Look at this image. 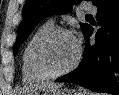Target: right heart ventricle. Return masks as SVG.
<instances>
[{"instance_id": "e07e8e85", "label": "right heart ventricle", "mask_w": 119, "mask_h": 95, "mask_svg": "<svg viewBox=\"0 0 119 95\" xmlns=\"http://www.w3.org/2000/svg\"><path fill=\"white\" fill-rule=\"evenodd\" d=\"M53 28V22L48 21L37 28L27 41L21 56L22 75L26 82H36L46 79V77L40 74L33 66L32 52L37 41Z\"/></svg>"}]
</instances>
